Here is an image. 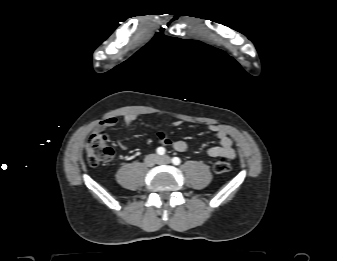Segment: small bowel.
Returning <instances> with one entry per match:
<instances>
[{
  "instance_id": "obj_1",
  "label": "small bowel",
  "mask_w": 337,
  "mask_h": 261,
  "mask_svg": "<svg viewBox=\"0 0 337 261\" xmlns=\"http://www.w3.org/2000/svg\"><path fill=\"white\" fill-rule=\"evenodd\" d=\"M137 119V115L133 113H128L123 116V123L125 128H130L131 125ZM116 117H108L97 125V131H103L106 128L113 127L117 124ZM181 121H175L173 125L175 127L179 126ZM209 130L216 135L219 140L218 146H213L208 149V155L213 158L226 156L229 159H233L235 157V151L233 149V142L227 131L218 126V125H210ZM159 142L164 146H171L174 150L178 152H185L189 149V145L184 140L174 139L168 131H160L157 134Z\"/></svg>"
}]
</instances>
